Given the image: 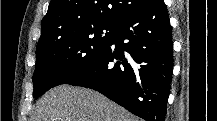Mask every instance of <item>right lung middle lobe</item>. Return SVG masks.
Returning <instances> with one entry per match:
<instances>
[{"mask_svg": "<svg viewBox=\"0 0 217 121\" xmlns=\"http://www.w3.org/2000/svg\"><path fill=\"white\" fill-rule=\"evenodd\" d=\"M118 24L99 23L81 27L36 48L33 96L80 75L106 50Z\"/></svg>", "mask_w": 217, "mask_h": 121, "instance_id": "1", "label": "right lung middle lobe"}]
</instances>
